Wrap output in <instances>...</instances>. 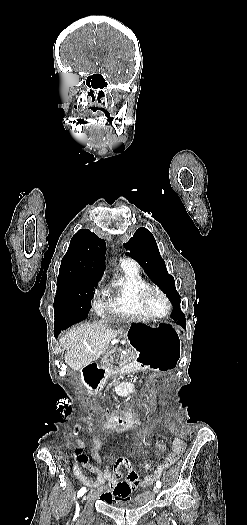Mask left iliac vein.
I'll return each mask as SVG.
<instances>
[{"instance_id":"left-iliac-vein-1","label":"left iliac vein","mask_w":247,"mask_h":525,"mask_svg":"<svg viewBox=\"0 0 247 525\" xmlns=\"http://www.w3.org/2000/svg\"><path fill=\"white\" fill-rule=\"evenodd\" d=\"M153 491H154L155 494H157V493L159 492V488H158L157 486H155V487L153 488Z\"/></svg>"}]
</instances>
